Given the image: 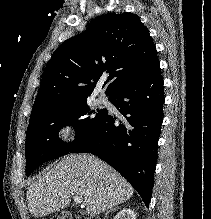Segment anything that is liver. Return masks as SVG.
Here are the masks:
<instances>
[{"mask_svg": "<svg viewBox=\"0 0 211 219\" xmlns=\"http://www.w3.org/2000/svg\"><path fill=\"white\" fill-rule=\"evenodd\" d=\"M134 194L133 187L107 163L88 154L64 157L40 175L28 188V209L44 217L66 208L74 195L84 200L86 212L100 214L122 204Z\"/></svg>", "mask_w": 211, "mask_h": 219, "instance_id": "6515ba94", "label": "liver"}]
</instances>
